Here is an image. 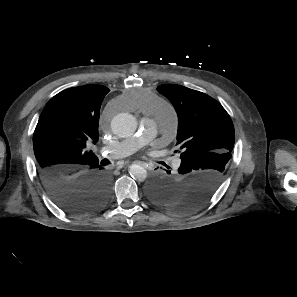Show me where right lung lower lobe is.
<instances>
[{"label": "right lung lower lobe", "instance_id": "right-lung-lower-lobe-1", "mask_svg": "<svg viewBox=\"0 0 297 297\" xmlns=\"http://www.w3.org/2000/svg\"><path fill=\"white\" fill-rule=\"evenodd\" d=\"M39 174L53 201L69 213H92L108 200L110 178L98 162L77 171L41 169Z\"/></svg>", "mask_w": 297, "mask_h": 297}]
</instances>
